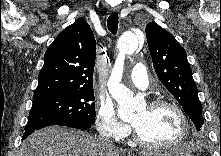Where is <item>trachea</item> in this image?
I'll list each match as a JSON object with an SVG mask.
<instances>
[{"mask_svg":"<svg viewBox=\"0 0 221 156\" xmlns=\"http://www.w3.org/2000/svg\"><path fill=\"white\" fill-rule=\"evenodd\" d=\"M107 26H108V30L112 34L117 33V30H118V14L117 13H113L108 17Z\"/></svg>","mask_w":221,"mask_h":156,"instance_id":"obj_1","label":"trachea"}]
</instances>
